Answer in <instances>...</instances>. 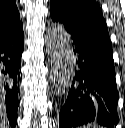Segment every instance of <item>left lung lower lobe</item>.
I'll return each instance as SVG.
<instances>
[{"instance_id": "0a47b994", "label": "left lung lower lobe", "mask_w": 125, "mask_h": 128, "mask_svg": "<svg viewBox=\"0 0 125 128\" xmlns=\"http://www.w3.org/2000/svg\"><path fill=\"white\" fill-rule=\"evenodd\" d=\"M76 66L72 86L59 114V128L90 123L113 128L118 123L112 47L71 36Z\"/></svg>"}]
</instances>
